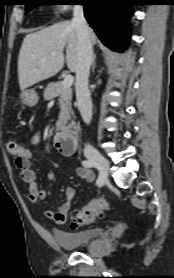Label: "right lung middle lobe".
Listing matches in <instances>:
<instances>
[{"label": "right lung middle lobe", "mask_w": 174, "mask_h": 278, "mask_svg": "<svg viewBox=\"0 0 174 278\" xmlns=\"http://www.w3.org/2000/svg\"><path fill=\"white\" fill-rule=\"evenodd\" d=\"M27 2L25 3L26 6V12H29L32 8L41 5L42 0H26Z\"/></svg>", "instance_id": "1"}]
</instances>
